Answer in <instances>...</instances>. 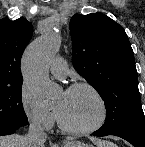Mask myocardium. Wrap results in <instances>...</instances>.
<instances>
[{"label": "myocardium", "instance_id": "myocardium-1", "mask_svg": "<svg viewBox=\"0 0 145 147\" xmlns=\"http://www.w3.org/2000/svg\"><path fill=\"white\" fill-rule=\"evenodd\" d=\"M79 89H86L94 95V97L96 98V100L99 103L100 110H101V114H100L99 119L91 126L77 128V127H73V126H70L69 124H67L63 120L62 116L60 115V113L57 109H55V113H56L58 124L62 130H64L65 132H67L69 134H73V135H87V134H91V133L96 132L97 130H99L100 128H102L105 125V123L108 119V106H107V103H106L105 99L103 98L102 94L98 91V89L89 83H85V82L74 83V84L70 85L65 90V92H71V91H75V90H79Z\"/></svg>", "mask_w": 145, "mask_h": 147}]
</instances>
